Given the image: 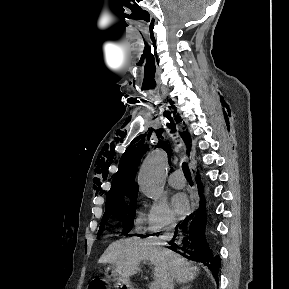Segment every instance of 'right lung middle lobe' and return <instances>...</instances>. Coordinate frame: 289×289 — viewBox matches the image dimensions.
<instances>
[{
	"instance_id": "right-lung-middle-lobe-1",
	"label": "right lung middle lobe",
	"mask_w": 289,
	"mask_h": 289,
	"mask_svg": "<svg viewBox=\"0 0 289 289\" xmlns=\"http://www.w3.org/2000/svg\"><path fill=\"white\" fill-rule=\"evenodd\" d=\"M137 196L129 198V201L121 200L114 203H106V211L102 218V223L99 228V235L102 233L104 224L110 218H117L125 224L126 228L123 233H127L132 229L133 217L135 214ZM125 235V234H124Z\"/></svg>"
}]
</instances>
